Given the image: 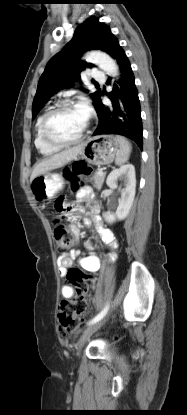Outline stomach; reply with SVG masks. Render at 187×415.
I'll return each mask as SVG.
<instances>
[{
  "mask_svg": "<svg viewBox=\"0 0 187 415\" xmlns=\"http://www.w3.org/2000/svg\"><path fill=\"white\" fill-rule=\"evenodd\" d=\"M119 150L117 139L111 135H99L83 143L80 157L89 164L96 166L108 165L113 162ZM61 175L46 172L31 181L34 198L41 203L50 201L63 188Z\"/></svg>",
  "mask_w": 187,
  "mask_h": 415,
  "instance_id": "0dacf381",
  "label": "stomach"
}]
</instances>
